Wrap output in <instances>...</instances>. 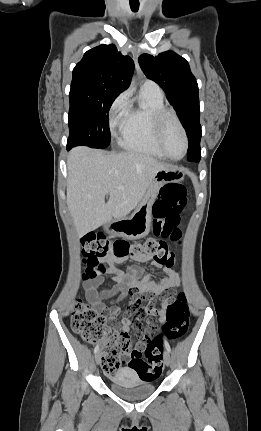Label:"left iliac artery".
Instances as JSON below:
<instances>
[{"mask_svg": "<svg viewBox=\"0 0 261 431\" xmlns=\"http://www.w3.org/2000/svg\"><path fill=\"white\" fill-rule=\"evenodd\" d=\"M164 345H165V348L167 349V351L171 352L170 345H169V343L166 340H164Z\"/></svg>", "mask_w": 261, "mask_h": 431, "instance_id": "obj_1", "label": "left iliac artery"}]
</instances>
